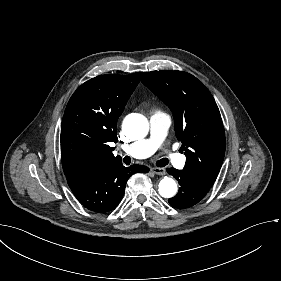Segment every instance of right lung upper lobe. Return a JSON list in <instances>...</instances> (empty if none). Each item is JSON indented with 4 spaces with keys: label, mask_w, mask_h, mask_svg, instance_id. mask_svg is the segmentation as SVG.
<instances>
[{
    "label": "right lung upper lobe",
    "mask_w": 281,
    "mask_h": 281,
    "mask_svg": "<svg viewBox=\"0 0 281 281\" xmlns=\"http://www.w3.org/2000/svg\"><path fill=\"white\" fill-rule=\"evenodd\" d=\"M139 83V73L100 75L82 84L70 98L61 126V157L67 178L91 175L121 163L111 142L116 124Z\"/></svg>",
    "instance_id": "obj_1"
}]
</instances>
